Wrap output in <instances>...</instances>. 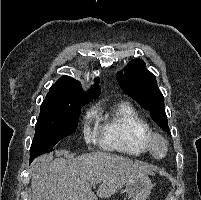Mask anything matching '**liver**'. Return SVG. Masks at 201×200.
I'll list each match as a JSON object with an SVG mask.
<instances>
[{
    "label": "liver",
    "mask_w": 201,
    "mask_h": 200,
    "mask_svg": "<svg viewBox=\"0 0 201 200\" xmlns=\"http://www.w3.org/2000/svg\"><path fill=\"white\" fill-rule=\"evenodd\" d=\"M146 166L124 157L92 152L73 159L50 155L34 164L32 200H98L118 192L127 181L151 175ZM100 183L97 195L93 183Z\"/></svg>",
    "instance_id": "obj_1"
}]
</instances>
